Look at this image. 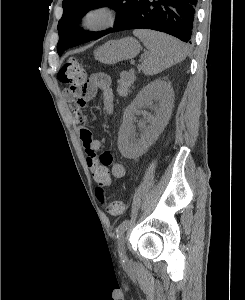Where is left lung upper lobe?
Segmentation results:
<instances>
[{
    "label": "left lung upper lobe",
    "instance_id": "left-lung-upper-lobe-1",
    "mask_svg": "<svg viewBox=\"0 0 245 300\" xmlns=\"http://www.w3.org/2000/svg\"><path fill=\"white\" fill-rule=\"evenodd\" d=\"M135 0H63V16L59 20L58 54L61 55L67 48L91 41L107 31L87 33L78 29L76 25L83 15L90 9L108 6L117 11L114 27L122 22L132 11ZM109 31V30H108Z\"/></svg>",
    "mask_w": 245,
    "mask_h": 300
}]
</instances>
